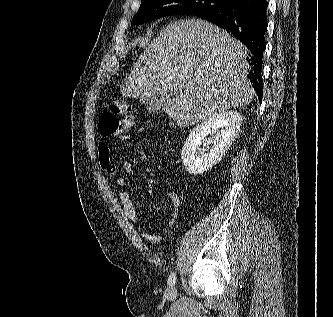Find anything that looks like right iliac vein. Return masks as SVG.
Returning a JSON list of instances; mask_svg holds the SVG:
<instances>
[{
    "mask_svg": "<svg viewBox=\"0 0 333 317\" xmlns=\"http://www.w3.org/2000/svg\"><path fill=\"white\" fill-rule=\"evenodd\" d=\"M177 295V291H176V288L173 287V286H170L169 288H167L166 290V296L170 299H173L175 298Z\"/></svg>",
    "mask_w": 333,
    "mask_h": 317,
    "instance_id": "63e3f726",
    "label": "right iliac vein"
}]
</instances>
